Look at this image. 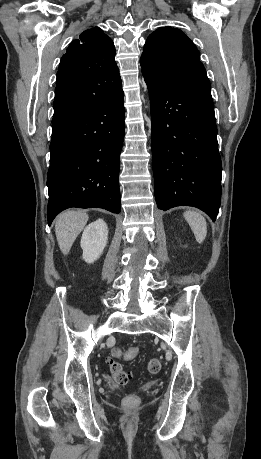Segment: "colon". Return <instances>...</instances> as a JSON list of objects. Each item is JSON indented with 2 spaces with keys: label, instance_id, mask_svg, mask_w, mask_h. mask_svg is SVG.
Segmentation results:
<instances>
[{
  "label": "colon",
  "instance_id": "obj_1",
  "mask_svg": "<svg viewBox=\"0 0 261 459\" xmlns=\"http://www.w3.org/2000/svg\"><path fill=\"white\" fill-rule=\"evenodd\" d=\"M138 354V348L130 347L125 350L114 348L112 350V356L114 358H122L124 360H133ZM114 358L108 360V366L114 380L120 385H126L131 380V374L125 371L121 364ZM148 372L152 375L158 374L161 370V362L153 358L148 362ZM138 403V398L135 395H128L124 398V404L126 406H134Z\"/></svg>",
  "mask_w": 261,
  "mask_h": 459
}]
</instances>
